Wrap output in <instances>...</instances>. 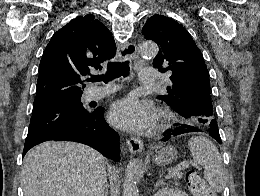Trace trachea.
<instances>
[{
    "instance_id": "3493384b",
    "label": "trachea",
    "mask_w": 260,
    "mask_h": 196,
    "mask_svg": "<svg viewBox=\"0 0 260 196\" xmlns=\"http://www.w3.org/2000/svg\"><path fill=\"white\" fill-rule=\"evenodd\" d=\"M130 68L127 61L125 62H110L107 67V73L101 75H93L89 78V81H104L105 83L119 78L120 76L127 77L129 75Z\"/></svg>"
}]
</instances>
